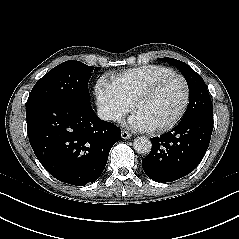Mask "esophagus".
<instances>
[{
	"label": "esophagus",
	"mask_w": 239,
	"mask_h": 239,
	"mask_svg": "<svg viewBox=\"0 0 239 239\" xmlns=\"http://www.w3.org/2000/svg\"><path fill=\"white\" fill-rule=\"evenodd\" d=\"M121 136L123 139H129L131 137V134L128 131L123 130Z\"/></svg>",
	"instance_id": "34e87169"
}]
</instances>
